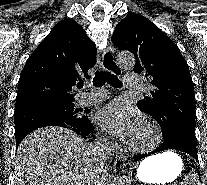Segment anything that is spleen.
<instances>
[{
	"mask_svg": "<svg viewBox=\"0 0 207 185\" xmlns=\"http://www.w3.org/2000/svg\"><path fill=\"white\" fill-rule=\"evenodd\" d=\"M181 182L184 185H197V183H200L199 174H188V178H182Z\"/></svg>",
	"mask_w": 207,
	"mask_h": 185,
	"instance_id": "obj_1",
	"label": "spleen"
}]
</instances>
